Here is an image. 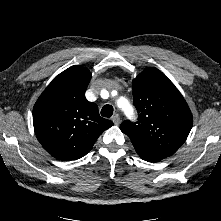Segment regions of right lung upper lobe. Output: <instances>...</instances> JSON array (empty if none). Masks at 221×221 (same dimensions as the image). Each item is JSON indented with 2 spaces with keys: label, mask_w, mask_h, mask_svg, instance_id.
<instances>
[{
  "label": "right lung upper lobe",
  "mask_w": 221,
  "mask_h": 221,
  "mask_svg": "<svg viewBox=\"0 0 221 221\" xmlns=\"http://www.w3.org/2000/svg\"><path fill=\"white\" fill-rule=\"evenodd\" d=\"M91 73L72 66L60 73L38 98L33 125L38 141L53 157L71 161L85 156L113 123L100 117L85 91Z\"/></svg>",
  "instance_id": "1"
}]
</instances>
